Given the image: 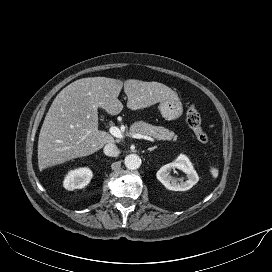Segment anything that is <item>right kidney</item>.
<instances>
[{"label":"right kidney","instance_id":"ca27d5eb","mask_svg":"<svg viewBox=\"0 0 272 272\" xmlns=\"http://www.w3.org/2000/svg\"><path fill=\"white\" fill-rule=\"evenodd\" d=\"M92 171L87 167L70 170L65 176L63 185L67 190L82 189L89 184Z\"/></svg>","mask_w":272,"mask_h":272}]
</instances>
